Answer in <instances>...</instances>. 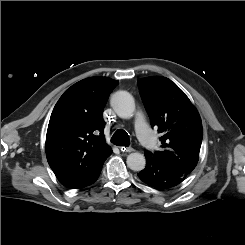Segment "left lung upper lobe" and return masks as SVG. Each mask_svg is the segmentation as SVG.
<instances>
[{
	"mask_svg": "<svg viewBox=\"0 0 245 245\" xmlns=\"http://www.w3.org/2000/svg\"><path fill=\"white\" fill-rule=\"evenodd\" d=\"M138 85L151 125L162 134V150L154 154L145 150V155L189 175L197 165L203 138L197 109L168 78H142Z\"/></svg>",
	"mask_w": 245,
	"mask_h": 245,
	"instance_id": "left-lung-upper-lobe-1",
	"label": "left lung upper lobe"
}]
</instances>
